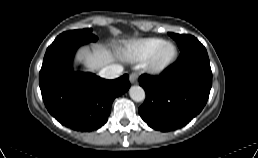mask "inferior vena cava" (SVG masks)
Returning a JSON list of instances; mask_svg holds the SVG:
<instances>
[{"mask_svg": "<svg viewBox=\"0 0 258 158\" xmlns=\"http://www.w3.org/2000/svg\"><path fill=\"white\" fill-rule=\"evenodd\" d=\"M123 72V67L117 64H110L102 68L99 72L100 77L106 79H115Z\"/></svg>", "mask_w": 258, "mask_h": 158, "instance_id": "obj_1", "label": "inferior vena cava"}]
</instances>
